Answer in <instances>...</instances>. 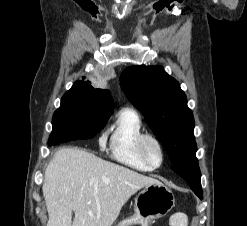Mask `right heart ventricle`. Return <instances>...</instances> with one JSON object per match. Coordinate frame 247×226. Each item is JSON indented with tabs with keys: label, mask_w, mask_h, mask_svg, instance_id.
Segmentation results:
<instances>
[{
	"label": "right heart ventricle",
	"mask_w": 247,
	"mask_h": 226,
	"mask_svg": "<svg viewBox=\"0 0 247 226\" xmlns=\"http://www.w3.org/2000/svg\"><path fill=\"white\" fill-rule=\"evenodd\" d=\"M144 133L142 121L136 111L122 109L108 131L109 152L118 162L139 171L150 168L139 156L137 142Z\"/></svg>",
	"instance_id": "e07e8e85"
}]
</instances>
